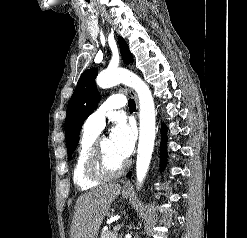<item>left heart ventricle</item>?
<instances>
[{"instance_id": "1", "label": "left heart ventricle", "mask_w": 247, "mask_h": 238, "mask_svg": "<svg viewBox=\"0 0 247 238\" xmlns=\"http://www.w3.org/2000/svg\"><path fill=\"white\" fill-rule=\"evenodd\" d=\"M102 152L105 164L108 168L118 169L123 164L124 159L115 153L108 138H104L102 141Z\"/></svg>"}]
</instances>
